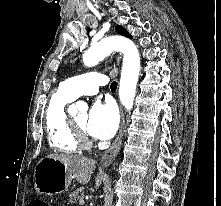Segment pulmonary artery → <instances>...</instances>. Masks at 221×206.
Instances as JSON below:
<instances>
[{
    "mask_svg": "<svg viewBox=\"0 0 221 206\" xmlns=\"http://www.w3.org/2000/svg\"><path fill=\"white\" fill-rule=\"evenodd\" d=\"M109 81V77L104 74L90 72L67 79L61 85L66 93L76 99L81 95L97 94L99 87L107 85Z\"/></svg>",
    "mask_w": 221,
    "mask_h": 206,
    "instance_id": "pulmonary-artery-1",
    "label": "pulmonary artery"
}]
</instances>
